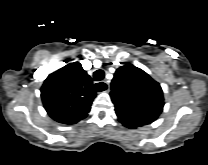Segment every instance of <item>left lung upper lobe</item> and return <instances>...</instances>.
<instances>
[{
  "label": "left lung upper lobe",
  "instance_id": "1",
  "mask_svg": "<svg viewBox=\"0 0 208 165\" xmlns=\"http://www.w3.org/2000/svg\"><path fill=\"white\" fill-rule=\"evenodd\" d=\"M110 96L119 121L131 129L154 122L163 111L160 84L133 65L116 70Z\"/></svg>",
  "mask_w": 208,
  "mask_h": 165
}]
</instances>
